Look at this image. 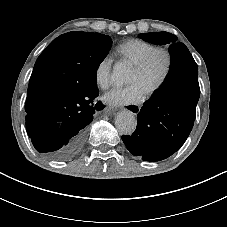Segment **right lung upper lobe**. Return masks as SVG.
<instances>
[{
	"mask_svg": "<svg viewBox=\"0 0 227 227\" xmlns=\"http://www.w3.org/2000/svg\"><path fill=\"white\" fill-rule=\"evenodd\" d=\"M74 75L67 69L36 61L29 85L25 110L31 114L48 96L68 91Z\"/></svg>",
	"mask_w": 227,
	"mask_h": 227,
	"instance_id": "cb5924a9",
	"label": "right lung upper lobe"
}]
</instances>
